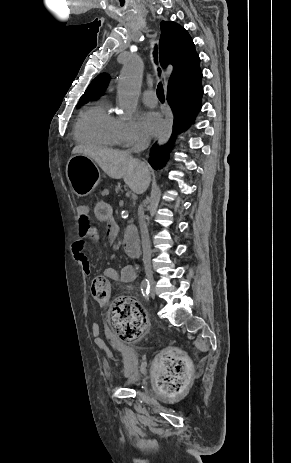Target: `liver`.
I'll return each mask as SVG.
<instances>
[{
	"label": "liver",
	"instance_id": "obj_1",
	"mask_svg": "<svg viewBox=\"0 0 291 463\" xmlns=\"http://www.w3.org/2000/svg\"><path fill=\"white\" fill-rule=\"evenodd\" d=\"M72 153L89 157L113 179L123 178L129 188L137 194L143 193L150 183L149 167L133 158L128 151L77 145L73 148Z\"/></svg>",
	"mask_w": 291,
	"mask_h": 463
}]
</instances>
